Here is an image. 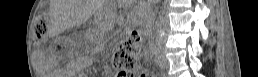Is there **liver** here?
I'll use <instances>...</instances> for the list:
<instances>
[{"instance_id":"liver-1","label":"liver","mask_w":258,"mask_h":77,"mask_svg":"<svg viewBox=\"0 0 258 77\" xmlns=\"http://www.w3.org/2000/svg\"><path fill=\"white\" fill-rule=\"evenodd\" d=\"M60 19L63 23H68L71 26L76 23V1L75 0H64L61 1L59 10Z\"/></svg>"}]
</instances>
